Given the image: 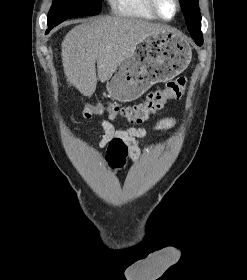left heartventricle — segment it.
Here are the masks:
<instances>
[{
  "mask_svg": "<svg viewBox=\"0 0 247 280\" xmlns=\"http://www.w3.org/2000/svg\"><path fill=\"white\" fill-rule=\"evenodd\" d=\"M158 9L162 16L171 18L175 13L174 0H157Z\"/></svg>",
  "mask_w": 247,
  "mask_h": 280,
  "instance_id": "left-heart-ventricle-1",
  "label": "left heart ventricle"
}]
</instances>
